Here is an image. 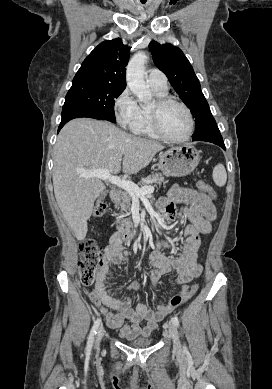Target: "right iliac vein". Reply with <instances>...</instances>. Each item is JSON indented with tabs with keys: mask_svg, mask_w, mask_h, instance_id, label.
<instances>
[{
	"mask_svg": "<svg viewBox=\"0 0 272 389\" xmlns=\"http://www.w3.org/2000/svg\"><path fill=\"white\" fill-rule=\"evenodd\" d=\"M104 332H105L104 327L101 326V327L98 329L97 336H96V340H95V346H96V347L99 346V344H100V342H101V340H102V338H103V336H104Z\"/></svg>",
	"mask_w": 272,
	"mask_h": 389,
	"instance_id": "right-iliac-vein-1",
	"label": "right iliac vein"
}]
</instances>
